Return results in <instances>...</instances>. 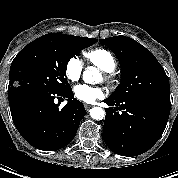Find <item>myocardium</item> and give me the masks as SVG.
<instances>
[{
	"instance_id": "f54148a6",
	"label": "myocardium",
	"mask_w": 178,
	"mask_h": 178,
	"mask_svg": "<svg viewBox=\"0 0 178 178\" xmlns=\"http://www.w3.org/2000/svg\"><path fill=\"white\" fill-rule=\"evenodd\" d=\"M109 78H110V77H109L108 75H106V79H107V80H110Z\"/></svg>"
}]
</instances>
